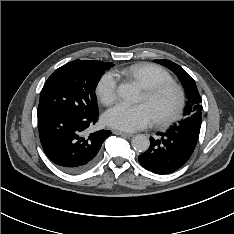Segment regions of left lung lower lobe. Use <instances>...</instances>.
Returning a JSON list of instances; mask_svg holds the SVG:
<instances>
[{
	"label": "left lung lower lobe",
	"mask_w": 234,
	"mask_h": 234,
	"mask_svg": "<svg viewBox=\"0 0 234 234\" xmlns=\"http://www.w3.org/2000/svg\"><path fill=\"white\" fill-rule=\"evenodd\" d=\"M150 138L149 149L138 157L139 163L156 174H169L182 167L192 155L198 136L181 127H170Z\"/></svg>",
	"instance_id": "obj_1"
}]
</instances>
